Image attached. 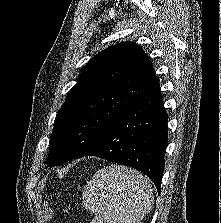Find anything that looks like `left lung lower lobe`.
I'll list each match as a JSON object with an SVG mask.
<instances>
[{"mask_svg":"<svg viewBox=\"0 0 221 223\" xmlns=\"http://www.w3.org/2000/svg\"><path fill=\"white\" fill-rule=\"evenodd\" d=\"M167 121L157 79L139 101L76 158L97 156L133 167L146 174L160 192L168 140Z\"/></svg>","mask_w":221,"mask_h":223,"instance_id":"obj_1","label":"left lung lower lobe"}]
</instances>
